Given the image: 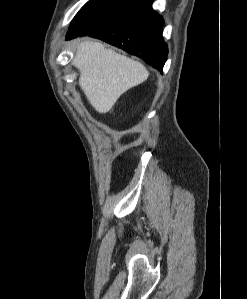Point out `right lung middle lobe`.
I'll return each mask as SVG.
<instances>
[{"mask_svg":"<svg viewBox=\"0 0 247 299\" xmlns=\"http://www.w3.org/2000/svg\"><path fill=\"white\" fill-rule=\"evenodd\" d=\"M137 0H90L71 22L68 37L87 35L124 15Z\"/></svg>","mask_w":247,"mask_h":299,"instance_id":"right-lung-middle-lobe-1","label":"right lung middle lobe"}]
</instances>
